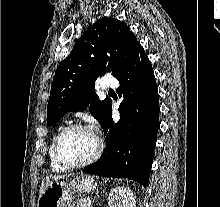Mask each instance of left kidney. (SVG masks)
<instances>
[{"label":"left kidney","mask_w":220,"mask_h":207,"mask_svg":"<svg viewBox=\"0 0 220 207\" xmlns=\"http://www.w3.org/2000/svg\"><path fill=\"white\" fill-rule=\"evenodd\" d=\"M109 207H136V197L130 188L118 186L108 196Z\"/></svg>","instance_id":"left-kidney-1"}]
</instances>
